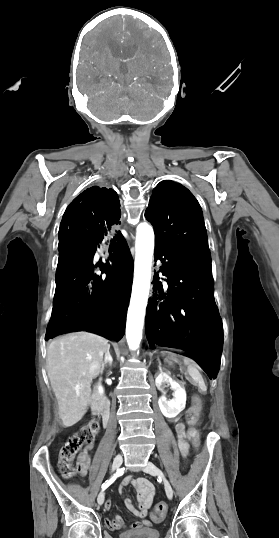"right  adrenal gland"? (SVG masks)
<instances>
[{
  "mask_svg": "<svg viewBox=\"0 0 279 538\" xmlns=\"http://www.w3.org/2000/svg\"><path fill=\"white\" fill-rule=\"evenodd\" d=\"M109 350H110V346H108V350H107V352L105 354V358H104V362L102 364L101 370H104V368H105L106 364H108V362H110V364H111V362H113L112 356H110Z\"/></svg>",
  "mask_w": 279,
  "mask_h": 538,
  "instance_id": "1",
  "label": "right adrenal gland"
}]
</instances>
